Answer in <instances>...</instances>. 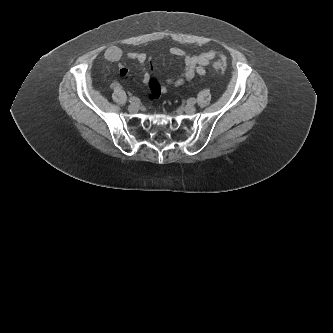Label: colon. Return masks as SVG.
<instances>
[{
	"label": "colon",
	"instance_id": "5ec220e1",
	"mask_svg": "<svg viewBox=\"0 0 333 333\" xmlns=\"http://www.w3.org/2000/svg\"><path fill=\"white\" fill-rule=\"evenodd\" d=\"M213 67L218 73H223L226 70L227 63L225 59L221 58L214 62Z\"/></svg>",
	"mask_w": 333,
	"mask_h": 333
}]
</instances>
